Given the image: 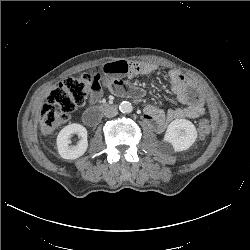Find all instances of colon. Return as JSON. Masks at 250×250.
I'll list each match as a JSON object with an SVG mask.
<instances>
[{"label": "colon", "mask_w": 250, "mask_h": 250, "mask_svg": "<svg viewBox=\"0 0 250 250\" xmlns=\"http://www.w3.org/2000/svg\"><path fill=\"white\" fill-rule=\"evenodd\" d=\"M93 76L82 74L69 77L60 82L49 94L47 101L40 111V125L42 131L50 135L65 124L71 113L82 106L92 91ZM211 131L208 119H201L197 124L200 139H205Z\"/></svg>", "instance_id": "5ec220e1"}]
</instances>
